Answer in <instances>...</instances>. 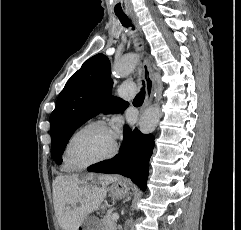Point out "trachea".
I'll return each instance as SVG.
<instances>
[{
	"instance_id": "3493384b",
	"label": "trachea",
	"mask_w": 241,
	"mask_h": 230,
	"mask_svg": "<svg viewBox=\"0 0 241 230\" xmlns=\"http://www.w3.org/2000/svg\"><path fill=\"white\" fill-rule=\"evenodd\" d=\"M116 16L119 18V20L123 26H125L127 28L131 26L132 29L134 30V28L131 24V21L124 13H116ZM144 98H145V83L143 82V87L141 88V91L136 95L133 102L141 104V103H143Z\"/></svg>"
}]
</instances>
